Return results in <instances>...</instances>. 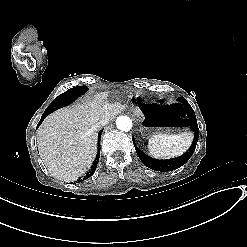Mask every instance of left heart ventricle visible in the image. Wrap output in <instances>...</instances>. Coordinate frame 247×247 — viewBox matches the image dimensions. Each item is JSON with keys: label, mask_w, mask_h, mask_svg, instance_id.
I'll return each instance as SVG.
<instances>
[{"label": "left heart ventricle", "mask_w": 247, "mask_h": 247, "mask_svg": "<svg viewBox=\"0 0 247 247\" xmlns=\"http://www.w3.org/2000/svg\"><path fill=\"white\" fill-rule=\"evenodd\" d=\"M120 146L124 147L125 146L124 142H120Z\"/></svg>", "instance_id": "left-heart-ventricle-1"}]
</instances>
